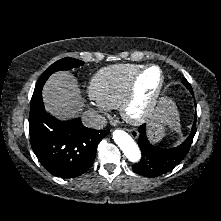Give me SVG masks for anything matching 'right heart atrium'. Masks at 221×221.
<instances>
[{
	"label": "right heart atrium",
	"mask_w": 221,
	"mask_h": 221,
	"mask_svg": "<svg viewBox=\"0 0 221 221\" xmlns=\"http://www.w3.org/2000/svg\"><path fill=\"white\" fill-rule=\"evenodd\" d=\"M90 109L101 115H106L109 111V107L96 101L90 103Z\"/></svg>",
	"instance_id": "obj_1"
}]
</instances>
